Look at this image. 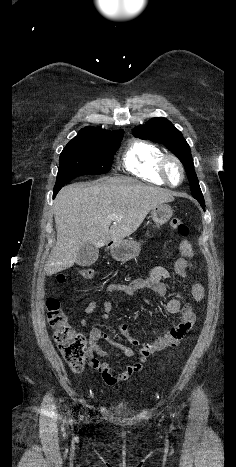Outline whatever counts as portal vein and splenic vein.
Instances as JSON below:
<instances>
[{"label":"portal vein and splenic vein","mask_w":236,"mask_h":467,"mask_svg":"<svg viewBox=\"0 0 236 467\" xmlns=\"http://www.w3.org/2000/svg\"><path fill=\"white\" fill-rule=\"evenodd\" d=\"M109 218L112 219V220H114V219L116 218V216H115V215H111V216H109Z\"/></svg>","instance_id":"obj_1"}]
</instances>
